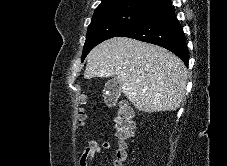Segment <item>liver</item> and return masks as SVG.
<instances>
[{"instance_id":"6515ba94","label":"liver","mask_w":227,"mask_h":166,"mask_svg":"<svg viewBox=\"0 0 227 166\" xmlns=\"http://www.w3.org/2000/svg\"><path fill=\"white\" fill-rule=\"evenodd\" d=\"M113 77L135 108L174 111L186 92L187 68L176 55L157 45L115 37L90 51L85 79Z\"/></svg>"}]
</instances>
